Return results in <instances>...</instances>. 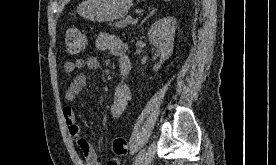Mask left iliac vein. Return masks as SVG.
Segmentation results:
<instances>
[{"instance_id":"4c4485c4","label":"left iliac vein","mask_w":276,"mask_h":165,"mask_svg":"<svg viewBox=\"0 0 276 165\" xmlns=\"http://www.w3.org/2000/svg\"><path fill=\"white\" fill-rule=\"evenodd\" d=\"M155 148V143L152 142L147 152L144 154L143 159L139 162L138 165H150L155 155Z\"/></svg>"}]
</instances>
